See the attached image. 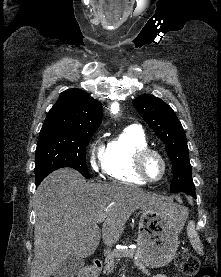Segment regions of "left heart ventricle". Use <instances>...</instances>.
Wrapping results in <instances>:
<instances>
[{
    "mask_svg": "<svg viewBox=\"0 0 221 277\" xmlns=\"http://www.w3.org/2000/svg\"><path fill=\"white\" fill-rule=\"evenodd\" d=\"M145 172L151 179H157L161 175L162 166L159 159L156 156H150L145 162Z\"/></svg>",
    "mask_w": 221,
    "mask_h": 277,
    "instance_id": "obj_1",
    "label": "left heart ventricle"
}]
</instances>
